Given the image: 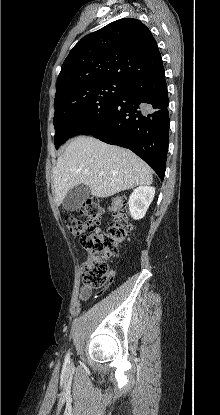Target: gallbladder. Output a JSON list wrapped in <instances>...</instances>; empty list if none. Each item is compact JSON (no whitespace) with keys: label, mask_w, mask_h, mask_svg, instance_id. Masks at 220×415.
Listing matches in <instances>:
<instances>
[{"label":"gallbladder","mask_w":220,"mask_h":415,"mask_svg":"<svg viewBox=\"0 0 220 415\" xmlns=\"http://www.w3.org/2000/svg\"><path fill=\"white\" fill-rule=\"evenodd\" d=\"M91 196L90 188L85 184H78L68 191L62 206L66 211H75Z\"/></svg>","instance_id":"gallbladder-1"}]
</instances>
